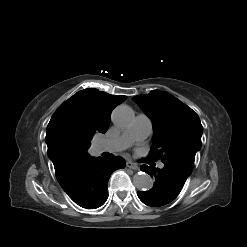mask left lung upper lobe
Listing matches in <instances>:
<instances>
[{
    "label": "left lung upper lobe",
    "mask_w": 247,
    "mask_h": 247,
    "mask_svg": "<svg viewBox=\"0 0 247 247\" xmlns=\"http://www.w3.org/2000/svg\"><path fill=\"white\" fill-rule=\"evenodd\" d=\"M151 118L154 135L150 157L177 167L187 175L201 148L203 127L198 115L169 93L153 90L133 98Z\"/></svg>",
    "instance_id": "5c2ea615"
}]
</instances>
